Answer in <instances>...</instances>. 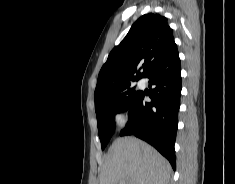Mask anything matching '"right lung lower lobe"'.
Returning a JSON list of instances; mask_svg holds the SVG:
<instances>
[{
  "label": "right lung lower lobe",
  "instance_id": "obj_1",
  "mask_svg": "<svg viewBox=\"0 0 235 184\" xmlns=\"http://www.w3.org/2000/svg\"><path fill=\"white\" fill-rule=\"evenodd\" d=\"M144 78L149 79L150 92L140 91L132 102L128 108L129 121L120 135H134L148 142L169 160L175 170L174 144L181 96L178 51L156 65ZM145 95L151 98V102L144 100Z\"/></svg>",
  "mask_w": 235,
  "mask_h": 184
}]
</instances>
